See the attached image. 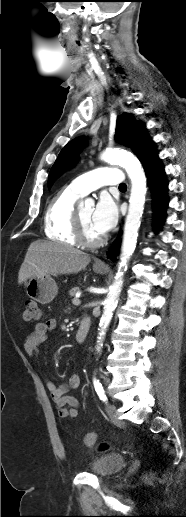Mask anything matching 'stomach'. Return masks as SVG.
Here are the masks:
<instances>
[{
    "mask_svg": "<svg viewBox=\"0 0 186 517\" xmlns=\"http://www.w3.org/2000/svg\"><path fill=\"white\" fill-rule=\"evenodd\" d=\"M96 273L103 274L106 267L94 266ZM27 295L41 304L50 303L58 293V287L55 280L50 275L42 277H33L26 283Z\"/></svg>",
    "mask_w": 186,
    "mask_h": 517,
    "instance_id": "obj_1",
    "label": "stomach"
}]
</instances>
